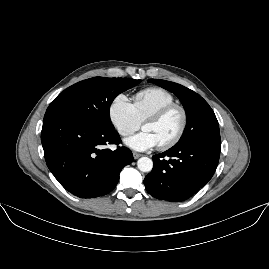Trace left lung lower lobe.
<instances>
[{
	"mask_svg": "<svg viewBox=\"0 0 269 269\" xmlns=\"http://www.w3.org/2000/svg\"><path fill=\"white\" fill-rule=\"evenodd\" d=\"M219 156L220 146L211 143L175 145L152 157L154 166L144 179L145 188L157 199L187 200L212 178Z\"/></svg>",
	"mask_w": 269,
	"mask_h": 269,
	"instance_id": "1",
	"label": "left lung lower lobe"
}]
</instances>
